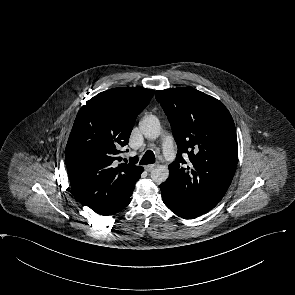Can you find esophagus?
<instances>
[{
	"instance_id": "34e87169",
	"label": "esophagus",
	"mask_w": 295,
	"mask_h": 295,
	"mask_svg": "<svg viewBox=\"0 0 295 295\" xmlns=\"http://www.w3.org/2000/svg\"><path fill=\"white\" fill-rule=\"evenodd\" d=\"M155 167H156V164H149V165L144 166V168H145L146 171H151Z\"/></svg>"
}]
</instances>
